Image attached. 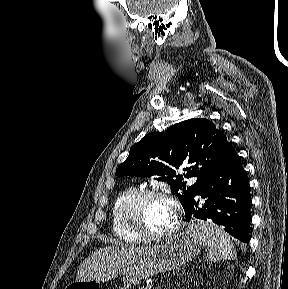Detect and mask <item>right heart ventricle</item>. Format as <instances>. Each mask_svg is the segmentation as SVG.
Masks as SVG:
<instances>
[{
    "label": "right heart ventricle",
    "mask_w": 288,
    "mask_h": 289,
    "mask_svg": "<svg viewBox=\"0 0 288 289\" xmlns=\"http://www.w3.org/2000/svg\"><path fill=\"white\" fill-rule=\"evenodd\" d=\"M137 191L138 188L136 186L126 187L116 196L111 207L110 218L113 234L125 244H137L141 241L125 227L123 222V208Z\"/></svg>",
    "instance_id": "e07e8e85"
}]
</instances>
